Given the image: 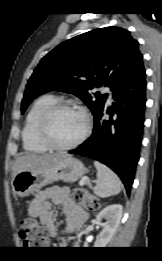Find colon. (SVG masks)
<instances>
[{
  "label": "colon",
  "mask_w": 162,
  "mask_h": 261,
  "mask_svg": "<svg viewBox=\"0 0 162 261\" xmlns=\"http://www.w3.org/2000/svg\"><path fill=\"white\" fill-rule=\"evenodd\" d=\"M72 198L76 203L83 206L88 211H97L101 207L100 199L90 194L85 189L74 190ZM19 234L23 245L27 248H40L47 243V234L45 230L39 225L37 220L32 217L22 220Z\"/></svg>",
  "instance_id": "colon-1"
}]
</instances>
